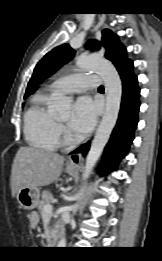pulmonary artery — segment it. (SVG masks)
I'll return each mask as SVG.
<instances>
[{
	"mask_svg": "<svg viewBox=\"0 0 162 261\" xmlns=\"http://www.w3.org/2000/svg\"><path fill=\"white\" fill-rule=\"evenodd\" d=\"M100 82L99 75L72 74L56 79L50 85V90L57 93H77L90 88H97Z\"/></svg>",
	"mask_w": 162,
	"mask_h": 261,
	"instance_id": "pulmonary-artery-1",
	"label": "pulmonary artery"
}]
</instances>
